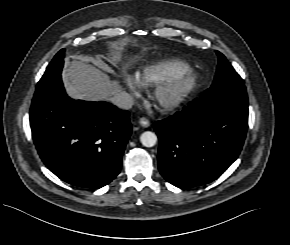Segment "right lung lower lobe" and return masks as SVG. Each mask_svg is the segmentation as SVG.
Segmentation results:
<instances>
[{
	"mask_svg": "<svg viewBox=\"0 0 290 245\" xmlns=\"http://www.w3.org/2000/svg\"><path fill=\"white\" fill-rule=\"evenodd\" d=\"M30 125L44 164L61 180L94 189L119 174L132 131L128 111L69 98L61 75L38 83Z\"/></svg>",
	"mask_w": 290,
	"mask_h": 245,
	"instance_id": "1",
	"label": "right lung lower lobe"
}]
</instances>
